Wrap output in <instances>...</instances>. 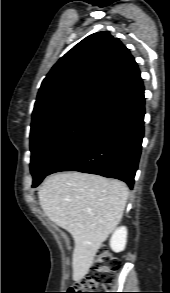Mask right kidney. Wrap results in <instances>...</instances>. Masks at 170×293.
Listing matches in <instances>:
<instances>
[{
    "label": "right kidney",
    "instance_id": "obj_1",
    "mask_svg": "<svg viewBox=\"0 0 170 293\" xmlns=\"http://www.w3.org/2000/svg\"><path fill=\"white\" fill-rule=\"evenodd\" d=\"M127 242V228L122 226L117 228L111 239H110V247L114 252H121L125 249Z\"/></svg>",
    "mask_w": 170,
    "mask_h": 293
}]
</instances>
